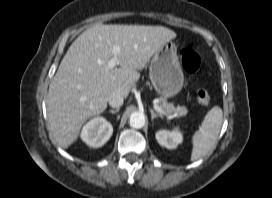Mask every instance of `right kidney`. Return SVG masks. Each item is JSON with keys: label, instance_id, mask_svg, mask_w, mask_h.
I'll return each instance as SVG.
<instances>
[{"label": "right kidney", "instance_id": "right-kidney-1", "mask_svg": "<svg viewBox=\"0 0 272 198\" xmlns=\"http://www.w3.org/2000/svg\"><path fill=\"white\" fill-rule=\"evenodd\" d=\"M113 127L103 117H95L82 129L81 138L90 147L103 146L112 136Z\"/></svg>", "mask_w": 272, "mask_h": 198}]
</instances>
